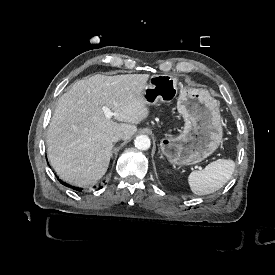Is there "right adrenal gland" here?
Segmentation results:
<instances>
[{
	"label": "right adrenal gland",
	"mask_w": 275,
	"mask_h": 275,
	"mask_svg": "<svg viewBox=\"0 0 275 275\" xmlns=\"http://www.w3.org/2000/svg\"><path fill=\"white\" fill-rule=\"evenodd\" d=\"M111 158H113V150L111 151Z\"/></svg>",
	"instance_id": "right-adrenal-gland-1"
}]
</instances>
